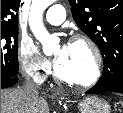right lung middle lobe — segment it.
Segmentation results:
<instances>
[{"mask_svg":"<svg viewBox=\"0 0 123 113\" xmlns=\"http://www.w3.org/2000/svg\"><path fill=\"white\" fill-rule=\"evenodd\" d=\"M18 70V29H1V76L14 77Z\"/></svg>","mask_w":123,"mask_h":113,"instance_id":"right-lung-middle-lobe-1","label":"right lung middle lobe"}]
</instances>
